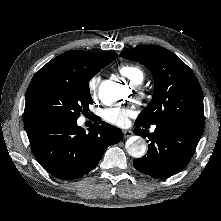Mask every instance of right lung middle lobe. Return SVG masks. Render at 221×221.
<instances>
[{
  "label": "right lung middle lobe",
  "instance_id": "obj_1",
  "mask_svg": "<svg viewBox=\"0 0 221 221\" xmlns=\"http://www.w3.org/2000/svg\"><path fill=\"white\" fill-rule=\"evenodd\" d=\"M111 62L77 73L38 71L27 90L24 123L77 120L93 103L88 82Z\"/></svg>",
  "mask_w": 221,
  "mask_h": 221
}]
</instances>
